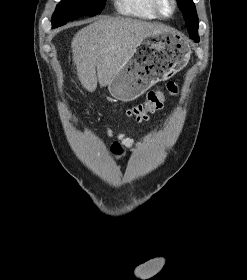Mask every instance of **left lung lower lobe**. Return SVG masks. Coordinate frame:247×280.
Here are the masks:
<instances>
[{
  "label": "left lung lower lobe",
  "mask_w": 247,
  "mask_h": 280,
  "mask_svg": "<svg viewBox=\"0 0 247 280\" xmlns=\"http://www.w3.org/2000/svg\"><path fill=\"white\" fill-rule=\"evenodd\" d=\"M196 42H199V38L197 40H195Z\"/></svg>",
  "instance_id": "1"
}]
</instances>
